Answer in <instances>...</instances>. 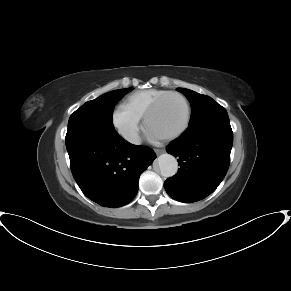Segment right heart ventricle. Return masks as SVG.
Returning <instances> with one entry per match:
<instances>
[{"label":"right heart ventricle","mask_w":291,"mask_h":291,"mask_svg":"<svg viewBox=\"0 0 291 291\" xmlns=\"http://www.w3.org/2000/svg\"><path fill=\"white\" fill-rule=\"evenodd\" d=\"M167 92L169 91L157 88L136 91L127 96L125 105L140 117H144L152 104Z\"/></svg>","instance_id":"right-heart-ventricle-1"}]
</instances>
